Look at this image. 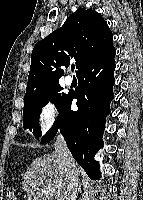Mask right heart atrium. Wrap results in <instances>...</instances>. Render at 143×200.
<instances>
[{"label":"right heart atrium","instance_id":"obj_1","mask_svg":"<svg viewBox=\"0 0 143 200\" xmlns=\"http://www.w3.org/2000/svg\"><path fill=\"white\" fill-rule=\"evenodd\" d=\"M58 110L52 99L44 101L38 111V125L41 135L47 134L57 123Z\"/></svg>","mask_w":143,"mask_h":200}]
</instances>
